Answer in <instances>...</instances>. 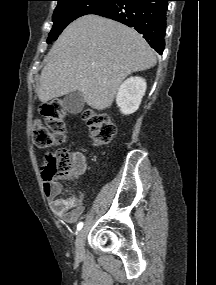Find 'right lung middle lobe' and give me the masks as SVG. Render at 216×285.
I'll list each match as a JSON object with an SVG mask.
<instances>
[{
    "instance_id": "obj_1",
    "label": "right lung middle lobe",
    "mask_w": 216,
    "mask_h": 285,
    "mask_svg": "<svg viewBox=\"0 0 216 285\" xmlns=\"http://www.w3.org/2000/svg\"><path fill=\"white\" fill-rule=\"evenodd\" d=\"M57 7L53 13V27L49 33L47 43L56 40L65 27L75 19L90 14L94 10L113 0H56Z\"/></svg>"
}]
</instances>
